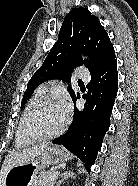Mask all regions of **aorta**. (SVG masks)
<instances>
[{
  "label": "aorta",
  "mask_w": 138,
  "mask_h": 186,
  "mask_svg": "<svg viewBox=\"0 0 138 186\" xmlns=\"http://www.w3.org/2000/svg\"><path fill=\"white\" fill-rule=\"evenodd\" d=\"M83 58H84V59H87V57H84V56H83Z\"/></svg>",
  "instance_id": "1"
}]
</instances>
